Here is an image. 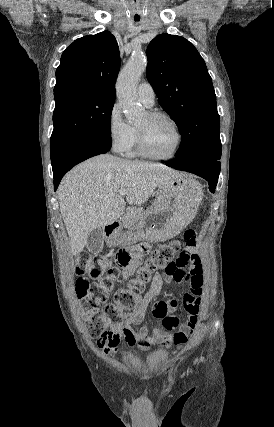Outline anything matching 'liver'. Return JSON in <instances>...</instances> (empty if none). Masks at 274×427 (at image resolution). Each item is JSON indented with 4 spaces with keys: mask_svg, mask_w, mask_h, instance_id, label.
I'll list each match as a JSON object with an SVG mask.
<instances>
[{
    "mask_svg": "<svg viewBox=\"0 0 274 427\" xmlns=\"http://www.w3.org/2000/svg\"><path fill=\"white\" fill-rule=\"evenodd\" d=\"M180 176L183 174L167 166L121 160L110 154L95 156L73 168L58 188L60 212L73 255L83 251L92 229L121 217L126 202L141 206L155 188ZM118 190H127L126 196H120Z\"/></svg>",
    "mask_w": 274,
    "mask_h": 427,
    "instance_id": "obj_1",
    "label": "liver"
}]
</instances>
